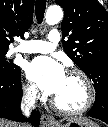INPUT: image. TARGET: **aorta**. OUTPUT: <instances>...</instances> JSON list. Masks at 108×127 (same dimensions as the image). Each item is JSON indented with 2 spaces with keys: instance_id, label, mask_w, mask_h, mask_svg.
Wrapping results in <instances>:
<instances>
[{
  "instance_id": "obj_1",
  "label": "aorta",
  "mask_w": 108,
  "mask_h": 127,
  "mask_svg": "<svg viewBox=\"0 0 108 127\" xmlns=\"http://www.w3.org/2000/svg\"><path fill=\"white\" fill-rule=\"evenodd\" d=\"M63 18V11L59 6H51L48 8L45 21L48 25H55L59 23Z\"/></svg>"
}]
</instances>
